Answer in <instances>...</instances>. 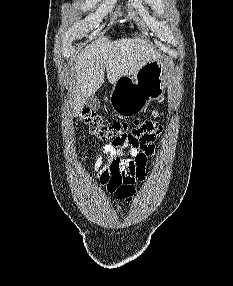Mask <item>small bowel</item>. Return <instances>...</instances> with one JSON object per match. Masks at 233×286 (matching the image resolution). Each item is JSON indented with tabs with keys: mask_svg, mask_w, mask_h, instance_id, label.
Returning a JSON list of instances; mask_svg holds the SVG:
<instances>
[{
	"mask_svg": "<svg viewBox=\"0 0 233 286\" xmlns=\"http://www.w3.org/2000/svg\"><path fill=\"white\" fill-rule=\"evenodd\" d=\"M162 131V126L145 122L140 133L103 145L107 159L98 160L93 169L100 185L116 199L130 201L136 184L144 181L147 160L155 154Z\"/></svg>",
	"mask_w": 233,
	"mask_h": 286,
	"instance_id": "c3829d8e",
	"label": "small bowel"
}]
</instances>
